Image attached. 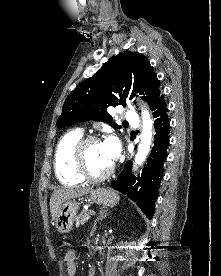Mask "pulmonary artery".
Instances as JSON below:
<instances>
[{
    "label": "pulmonary artery",
    "mask_w": 221,
    "mask_h": 276,
    "mask_svg": "<svg viewBox=\"0 0 221 276\" xmlns=\"http://www.w3.org/2000/svg\"><path fill=\"white\" fill-rule=\"evenodd\" d=\"M125 117L128 121L135 122L137 120V114L134 110L126 111Z\"/></svg>",
    "instance_id": "1"
}]
</instances>
